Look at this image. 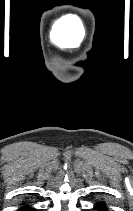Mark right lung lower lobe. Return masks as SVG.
Returning <instances> with one entry per match:
<instances>
[{
  "mask_svg": "<svg viewBox=\"0 0 133 211\" xmlns=\"http://www.w3.org/2000/svg\"><path fill=\"white\" fill-rule=\"evenodd\" d=\"M20 211H34V209L26 205L24 206L23 210H20Z\"/></svg>",
  "mask_w": 133,
  "mask_h": 211,
  "instance_id": "1",
  "label": "right lung lower lobe"
}]
</instances>
